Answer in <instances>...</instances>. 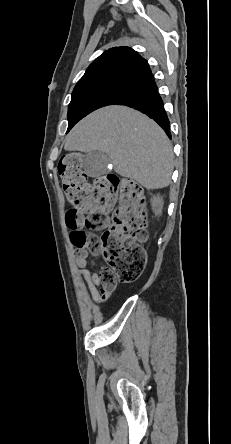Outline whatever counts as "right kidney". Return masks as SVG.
<instances>
[{
	"instance_id": "right-kidney-1",
	"label": "right kidney",
	"mask_w": 231,
	"mask_h": 444,
	"mask_svg": "<svg viewBox=\"0 0 231 444\" xmlns=\"http://www.w3.org/2000/svg\"><path fill=\"white\" fill-rule=\"evenodd\" d=\"M151 204H152V209H153L155 215H160L162 213V208H163L162 198L159 195L154 196L151 199Z\"/></svg>"
}]
</instances>
